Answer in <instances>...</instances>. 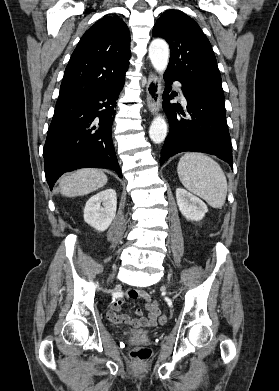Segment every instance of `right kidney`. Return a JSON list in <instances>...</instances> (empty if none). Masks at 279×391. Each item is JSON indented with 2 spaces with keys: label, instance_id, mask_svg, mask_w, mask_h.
<instances>
[{
  "label": "right kidney",
  "instance_id": "1",
  "mask_svg": "<svg viewBox=\"0 0 279 391\" xmlns=\"http://www.w3.org/2000/svg\"><path fill=\"white\" fill-rule=\"evenodd\" d=\"M117 196L114 189L93 195L84 208V221L97 231H105L115 218Z\"/></svg>",
  "mask_w": 279,
  "mask_h": 391
}]
</instances>
